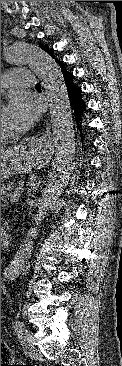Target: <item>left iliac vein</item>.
Instances as JSON below:
<instances>
[{
  "mask_svg": "<svg viewBox=\"0 0 122 366\" xmlns=\"http://www.w3.org/2000/svg\"><path fill=\"white\" fill-rule=\"evenodd\" d=\"M24 341H25L26 349L34 350V337H33V334L28 330L24 331Z\"/></svg>",
  "mask_w": 122,
  "mask_h": 366,
  "instance_id": "4c4485c4",
  "label": "left iliac vein"
}]
</instances>
